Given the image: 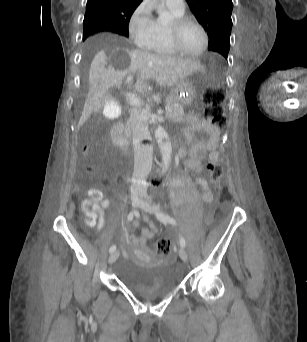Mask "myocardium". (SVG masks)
<instances>
[{"label":"myocardium","mask_w":307,"mask_h":342,"mask_svg":"<svg viewBox=\"0 0 307 342\" xmlns=\"http://www.w3.org/2000/svg\"><path fill=\"white\" fill-rule=\"evenodd\" d=\"M190 22L198 24L204 34V45L202 49L195 54L186 52L180 43L181 31ZM165 38L169 47L176 54L190 59L201 58L207 52L210 45V35L206 24L200 18L194 15H182L180 17H174L165 28Z\"/></svg>","instance_id":"f54148a6"}]
</instances>
